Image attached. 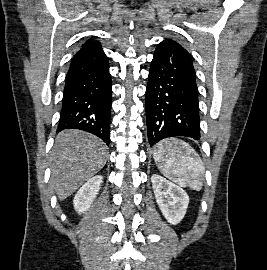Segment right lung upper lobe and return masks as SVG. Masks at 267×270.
Segmentation results:
<instances>
[{
	"label": "right lung upper lobe",
	"mask_w": 267,
	"mask_h": 270,
	"mask_svg": "<svg viewBox=\"0 0 267 270\" xmlns=\"http://www.w3.org/2000/svg\"><path fill=\"white\" fill-rule=\"evenodd\" d=\"M97 43H98L97 41L89 40L83 45V47L94 45V44H97Z\"/></svg>",
	"instance_id": "right-lung-upper-lobe-1"
}]
</instances>
